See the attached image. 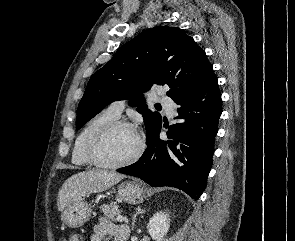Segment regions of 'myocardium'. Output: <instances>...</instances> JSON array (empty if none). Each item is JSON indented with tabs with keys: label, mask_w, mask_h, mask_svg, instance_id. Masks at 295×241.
<instances>
[{
	"label": "myocardium",
	"mask_w": 295,
	"mask_h": 241,
	"mask_svg": "<svg viewBox=\"0 0 295 241\" xmlns=\"http://www.w3.org/2000/svg\"><path fill=\"white\" fill-rule=\"evenodd\" d=\"M118 128H127L133 131L138 139V148L136 152L127 160L121 162H109L102 158L100 154V148L104 140L107 136L113 132L115 129ZM145 151V140L144 138L138 133L136 128L129 122L121 119H116L113 121L108 122L104 126H102L92 137L88 144L87 154L92 162L97 167L105 168V169H119L129 165L136 163L143 155Z\"/></svg>",
	"instance_id": "myocardium-1"
}]
</instances>
